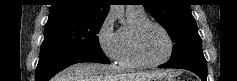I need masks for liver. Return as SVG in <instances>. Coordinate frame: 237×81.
<instances>
[{
  "instance_id": "liver-1",
  "label": "liver",
  "mask_w": 237,
  "mask_h": 81,
  "mask_svg": "<svg viewBox=\"0 0 237 81\" xmlns=\"http://www.w3.org/2000/svg\"><path fill=\"white\" fill-rule=\"evenodd\" d=\"M164 71L124 72L116 66L77 63L60 72L54 81H151Z\"/></svg>"
}]
</instances>
